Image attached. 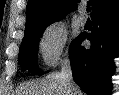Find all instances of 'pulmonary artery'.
I'll use <instances>...</instances> for the list:
<instances>
[{"instance_id":"obj_1","label":"pulmonary artery","mask_w":119,"mask_h":95,"mask_svg":"<svg viewBox=\"0 0 119 95\" xmlns=\"http://www.w3.org/2000/svg\"><path fill=\"white\" fill-rule=\"evenodd\" d=\"M87 21V18L85 16V13L83 12V10L80 11V14L78 16V22L80 25H84Z\"/></svg>"}]
</instances>
